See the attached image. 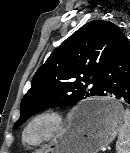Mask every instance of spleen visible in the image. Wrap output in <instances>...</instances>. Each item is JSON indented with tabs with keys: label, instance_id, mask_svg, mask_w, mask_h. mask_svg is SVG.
<instances>
[{
	"label": "spleen",
	"instance_id": "3e777b00",
	"mask_svg": "<svg viewBox=\"0 0 130 153\" xmlns=\"http://www.w3.org/2000/svg\"><path fill=\"white\" fill-rule=\"evenodd\" d=\"M118 133L117 153H130V111L128 109L123 113V123L119 126Z\"/></svg>",
	"mask_w": 130,
	"mask_h": 153
}]
</instances>
